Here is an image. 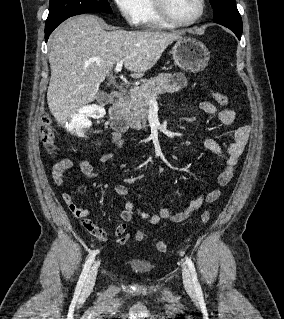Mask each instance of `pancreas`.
Wrapping results in <instances>:
<instances>
[{
	"instance_id": "pancreas-1",
	"label": "pancreas",
	"mask_w": 284,
	"mask_h": 319,
	"mask_svg": "<svg viewBox=\"0 0 284 319\" xmlns=\"http://www.w3.org/2000/svg\"><path fill=\"white\" fill-rule=\"evenodd\" d=\"M184 85L186 79L183 74L161 73L130 91V96L122 107V113L132 128L146 130L151 97L156 98L159 94L179 91Z\"/></svg>"
}]
</instances>
